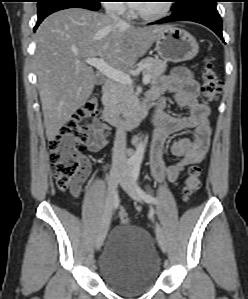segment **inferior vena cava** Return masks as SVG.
<instances>
[{
  "label": "inferior vena cava",
  "mask_w": 248,
  "mask_h": 299,
  "mask_svg": "<svg viewBox=\"0 0 248 299\" xmlns=\"http://www.w3.org/2000/svg\"><path fill=\"white\" fill-rule=\"evenodd\" d=\"M118 9V5L112 4L108 5L106 9V13L110 16L114 21H117L120 25L126 24L125 21L121 20L116 11ZM127 163L126 156V133L122 126L118 125L115 134L113 153H112V165L114 167H124Z\"/></svg>",
  "instance_id": "obj_1"
}]
</instances>
